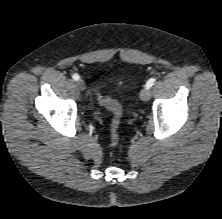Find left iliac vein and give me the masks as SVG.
Wrapping results in <instances>:
<instances>
[{
    "label": "left iliac vein",
    "instance_id": "left-iliac-vein-1",
    "mask_svg": "<svg viewBox=\"0 0 222 219\" xmlns=\"http://www.w3.org/2000/svg\"><path fill=\"white\" fill-rule=\"evenodd\" d=\"M151 97V90L147 87L143 88L140 92V99L142 101H148Z\"/></svg>",
    "mask_w": 222,
    "mask_h": 219
}]
</instances>
